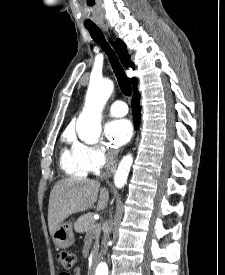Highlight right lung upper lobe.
Segmentation results:
<instances>
[{"label": "right lung upper lobe", "instance_id": "right-lung-upper-lobe-1", "mask_svg": "<svg viewBox=\"0 0 225 275\" xmlns=\"http://www.w3.org/2000/svg\"><path fill=\"white\" fill-rule=\"evenodd\" d=\"M114 48H115L117 54L119 55V58H120L122 64L126 67L130 66V67L134 68V64L131 63L129 60V55L127 53V47H126L125 43L123 41H121L120 39H118L114 43ZM131 82H132L133 88L137 87V81L135 78L132 79Z\"/></svg>", "mask_w": 225, "mask_h": 275}]
</instances>
